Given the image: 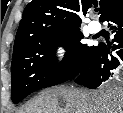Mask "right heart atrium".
<instances>
[{
    "instance_id": "1",
    "label": "right heart atrium",
    "mask_w": 123,
    "mask_h": 113,
    "mask_svg": "<svg viewBox=\"0 0 123 113\" xmlns=\"http://www.w3.org/2000/svg\"><path fill=\"white\" fill-rule=\"evenodd\" d=\"M51 57L54 65L63 69L68 66L72 58V49L68 40L57 41L51 49Z\"/></svg>"
}]
</instances>
